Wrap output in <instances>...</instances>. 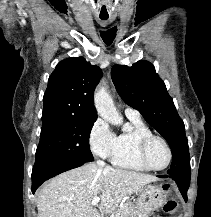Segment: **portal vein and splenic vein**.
<instances>
[{
    "mask_svg": "<svg viewBox=\"0 0 211 217\" xmlns=\"http://www.w3.org/2000/svg\"><path fill=\"white\" fill-rule=\"evenodd\" d=\"M100 202V198L99 197H96L92 200V205L93 206H96L98 203Z\"/></svg>",
    "mask_w": 211,
    "mask_h": 217,
    "instance_id": "1",
    "label": "portal vein and splenic vein"
}]
</instances>
